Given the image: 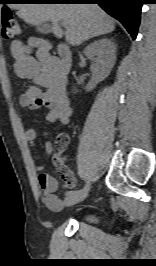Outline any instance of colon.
I'll return each instance as SVG.
<instances>
[{"instance_id":"colon-1","label":"colon","mask_w":156,"mask_h":266,"mask_svg":"<svg viewBox=\"0 0 156 266\" xmlns=\"http://www.w3.org/2000/svg\"><path fill=\"white\" fill-rule=\"evenodd\" d=\"M2 36L6 40L14 39L20 32V26L17 18L10 10H3L2 16ZM67 136L61 135L57 140L58 147L67 143Z\"/></svg>"}]
</instances>
